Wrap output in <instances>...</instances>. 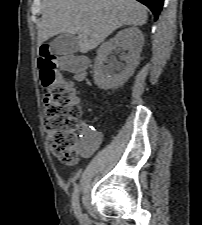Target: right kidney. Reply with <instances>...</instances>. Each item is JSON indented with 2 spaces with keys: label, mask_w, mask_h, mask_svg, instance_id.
I'll return each instance as SVG.
<instances>
[{
  "label": "right kidney",
  "mask_w": 202,
  "mask_h": 225,
  "mask_svg": "<svg viewBox=\"0 0 202 225\" xmlns=\"http://www.w3.org/2000/svg\"><path fill=\"white\" fill-rule=\"evenodd\" d=\"M143 43L144 36L136 27L121 30L112 39L103 43L97 50L94 64L95 84L104 90L122 86L133 75L139 63ZM116 48L122 51L120 59L125 61V64L117 62L114 56L108 59L112 50ZM115 70L118 73H115Z\"/></svg>",
  "instance_id": "1"
}]
</instances>
